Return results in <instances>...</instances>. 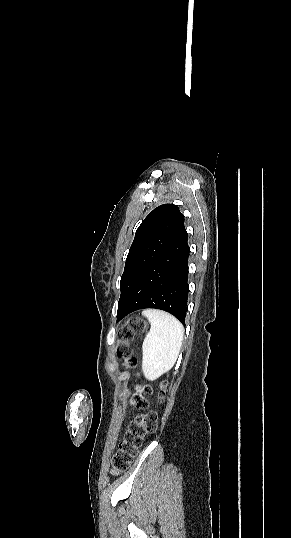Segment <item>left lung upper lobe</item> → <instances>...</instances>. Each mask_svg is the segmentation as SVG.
Segmentation results:
<instances>
[{
  "mask_svg": "<svg viewBox=\"0 0 291 538\" xmlns=\"http://www.w3.org/2000/svg\"><path fill=\"white\" fill-rule=\"evenodd\" d=\"M184 231V216L174 204L160 205L148 214L126 258L118 307L126 303L149 266Z\"/></svg>",
  "mask_w": 291,
  "mask_h": 538,
  "instance_id": "left-lung-upper-lobe-1",
  "label": "left lung upper lobe"
}]
</instances>
